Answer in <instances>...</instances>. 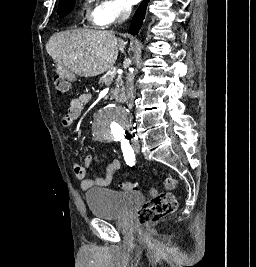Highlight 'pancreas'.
<instances>
[{
	"instance_id": "1",
	"label": "pancreas",
	"mask_w": 256,
	"mask_h": 267,
	"mask_svg": "<svg viewBox=\"0 0 256 267\" xmlns=\"http://www.w3.org/2000/svg\"><path fill=\"white\" fill-rule=\"evenodd\" d=\"M114 78H115V74H112V76H109V74H106L104 78H101L100 84L101 82H104L105 86H110ZM124 94H125V88L124 86H122V82L120 78H118L116 82V88L115 90H113V92H111V98H113V100H116V102H123Z\"/></svg>"
}]
</instances>
